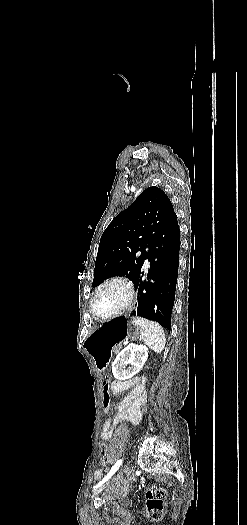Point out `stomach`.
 I'll return each mask as SVG.
<instances>
[{
  "label": "stomach",
  "instance_id": "obj_1",
  "mask_svg": "<svg viewBox=\"0 0 247 525\" xmlns=\"http://www.w3.org/2000/svg\"><path fill=\"white\" fill-rule=\"evenodd\" d=\"M139 327L133 320L120 316L98 325L84 343L98 371H104L112 356V349L124 339L138 335Z\"/></svg>",
  "mask_w": 247,
  "mask_h": 525
}]
</instances>
